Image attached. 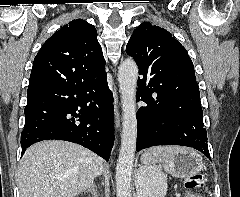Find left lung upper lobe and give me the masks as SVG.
<instances>
[{
  "label": "left lung upper lobe",
  "instance_id": "left-lung-upper-lobe-1",
  "mask_svg": "<svg viewBox=\"0 0 240 197\" xmlns=\"http://www.w3.org/2000/svg\"><path fill=\"white\" fill-rule=\"evenodd\" d=\"M126 53L137 62L139 73L148 75L158 90L198 88L187 51L163 28L148 22L140 24L128 41Z\"/></svg>",
  "mask_w": 240,
  "mask_h": 197
}]
</instances>
